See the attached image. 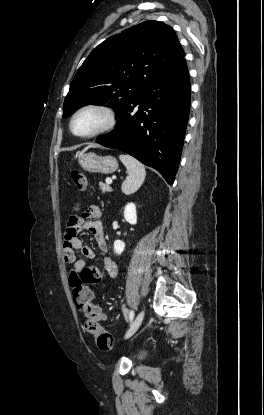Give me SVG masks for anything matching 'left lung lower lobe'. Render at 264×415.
Masks as SVG:
<instances>
[{
  "label": "left lung lower lobe",
  "instance_id": "obj_1",
  "mask_svg": "<svg viewBox=\"0 0 264 415\" xmlns=\"http://www.w3.org/2000/svg\"><path fill=\"white\" fill-rule=\"evenodd\" d=\"M189 110L190 79L183 58L144 87L119 114L115 129L95 141L156 169L171 185L180 163Z\"/></svg>",
  "mask_w": 264,
  "mask_h": 415
}]
</instances>
